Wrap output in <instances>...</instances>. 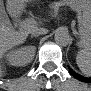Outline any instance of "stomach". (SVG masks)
Listing matches in <instances>:
<instances>
[{
	"mask_svg": "<svg viewBox=\"0 0 91 91\" xmlns=\"http://www.w3.org/2000/svg\"><path fill=\"white\" fill-rule=\"evenodd\" d=\"M69 4L74 9L78 10V12H80L79 30L82 35L84 44L89 45L91 40V18L89 15L90 2L85 0H70Z\"/></svg>",
	"mask_w": 91,
	"mask_h": 91,
	"instance_id": "stomach-1",
	"label": "stomach"
}]
</instances>
